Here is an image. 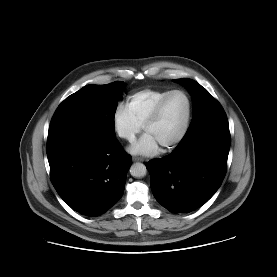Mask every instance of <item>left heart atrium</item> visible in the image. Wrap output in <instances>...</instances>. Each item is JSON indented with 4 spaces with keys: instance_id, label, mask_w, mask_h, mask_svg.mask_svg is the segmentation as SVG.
Wrapping results in <instances>:
<instances>
[{
    "instance_id": "1",
    "label": "left heart atrium",
    "mask_w": 277,
    "mask_h": 277,
    "mask_svg": "<svg viewBox=\"0 0 277 277\" xmlns=\"http://www.w3.org/2000/svg\"><path fill=\"white\" fill-rule=\"evenodd\" d=\"M159 149V143L151 134L146 132L138 141L133 143L128 150L133 155L151 156L156 154Z\"/></svg>"
}]
</instances>
